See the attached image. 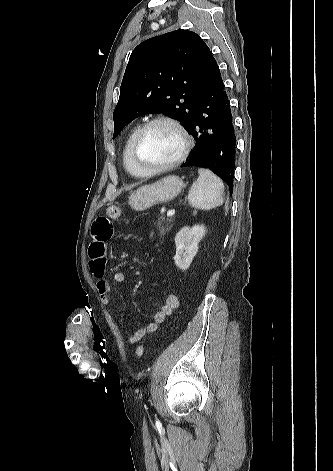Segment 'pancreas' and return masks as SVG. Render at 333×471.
Segmentation results:
<instances>
[{
    "mask_svg": "<svg viewBox=\"0 0 333 471\" xmlns=\"http://www.w3.org/2000/svg\"><path fill=\"white\" fill-rule=\"evenodd\" d=\"M172 220H165L164 217H160L156 223L157 229L159 230L160 234H164L172 227Z\"/></svg>",
    "mask_w": 333,
    "mask_h": 471,
    "instance_id": "obj_1",
    "label": "pancreas"
}]
</instances>
